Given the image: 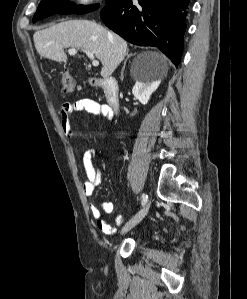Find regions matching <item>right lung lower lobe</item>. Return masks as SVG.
Here are the masks:
<instances>
[{
	"instance_id": "right-lung-lower-lobe-1",
	"label": "right lung lower lobe",
	"mask_w": 247,
	"mask_h": 299,
	"mask_svg": "<svg viewBox=\"0 0 247 299\" xmlns=\"http://www.w3.org/2000/svg\"><path fill=\"white\" fill-rule=\"evenodd\" d=\"M117 0L101 10L107 27L130 43L158 47L175 66L180 63L189 0Z\"/></svg>"
}]
</instances>
